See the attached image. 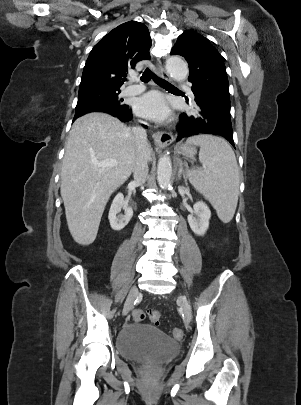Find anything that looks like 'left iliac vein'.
Listing matches in <instances>:
<instances>
[{"instance_id": "obj_1", "label": "left iliac vein", "mask_w": 301, "mask_h": 405, "mask_svg": "<svg viewBox=\"0 0 301 405\" xmlns=\"http://www.w3.org/2000/svg\"><path fill=\"white\" fill-rule=\"evenodd\" d=\"M179 300H180V302L182 304V307H183L185 323L189 324L190 321H191V317H192L190 305H189L187 299L184 296H180Z\"/></svg>"}]
</instances>
